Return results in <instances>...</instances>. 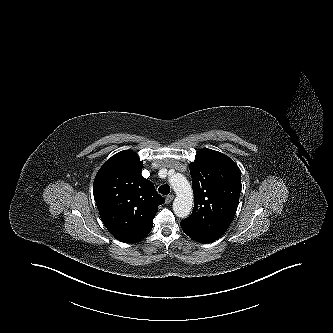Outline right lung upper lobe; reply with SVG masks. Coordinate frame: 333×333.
Here are the masks:
<instances>
[{"mask_svg":"<svg viewBox=\"0 0 333 333\" xmlns=\"http://www.w3.org/2000/svg\"><path fill=\"white\" fill-rule=\"evenodd\" d=\"M143 161L122 151L105 162L93 184L94 199L105 227L121 242L134 243L152 229L158 206L165 202L141 175Z\"/></svg>","mask_w":333,"mask_h":333,"instance_id":"obj_1","label":"right lung upper lobe"}]
</instances>
